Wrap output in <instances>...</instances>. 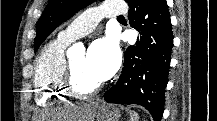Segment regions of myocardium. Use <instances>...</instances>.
I'll list each match as a JSON object with an SVG mask.
<instances>
[{
	"instance_id": "f54148a6",
	"label": "myocardium",
	"mask_w": 217,
	"mask_h": 121,
	"mask_svg": "<svg viewBox=\"0 0 217 121\" xmlns=\"http://www.w3.org/2000/svg\"><path fill=\"white\" fill-rule=\"evenodd\" d=\"M102 86L100 82L90 89L81 88L76 82L71 60L66 61L62 75V88L66 95L78 99H87L96 95L102 89Z\"/></svg>"
}]
</instances>
